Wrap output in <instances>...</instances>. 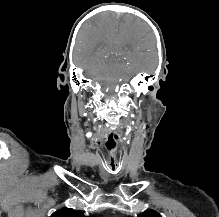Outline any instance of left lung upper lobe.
<instances>
[{
  "instance_id": "5c2ea615",
  "label": "left lung upper lobe",
  "mask_w": 219,
  "mask_h": 217,
  "mask_svg": "<svg viewBox=\"0 0 219 217\" xmlns=\"http://www.w3.org/2000/svg\"><path fill=\"white\" fill-rule=\"evenodd\" d=\"M137 217H161V215L154 210H148L139 214Z\"/></svg>"
}]
</instances>
